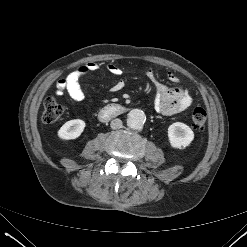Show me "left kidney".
I'll return each mask as SVG.
<instances>
[{"instance_id": "obj_1", "label": "left kidney", "mask_w": 247, "mask_h": 247, "mask_svg": "<svg viewBox=\"0 0 247 247\" xmlns=\"http://www.w3.org/2000/svg\"><path fill=\"white\" fill-rule=\"evenodd\" d=\"M168 138L171 147L184 149L193 141L194 133L186 124L176 122L168 127Z\"/></svg>"}]
</instances>
